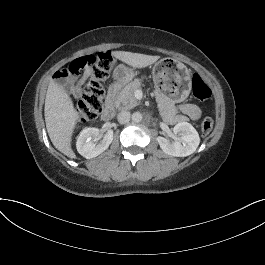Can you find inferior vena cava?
Here are the masks:
<instances>
[{"instance_id": "1", "label": "inferior vena cava", "mask_w": 265, "mask_h": 265, "mask_svg": "<svg viewBox=\"0 0 265 265\" xmlns=\"http://www.w3.org/2000/svg\"><path fill=\"white\" fill-rule=\"evenodd\" d=\"M131 118V113L130 111H121L117 114V120L121 124L128 123Z\"/></svg>"}]
</instances>
